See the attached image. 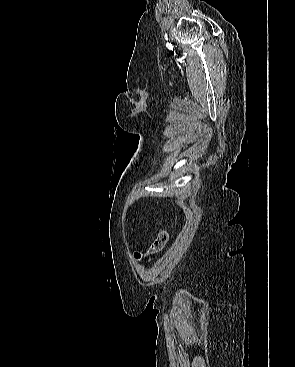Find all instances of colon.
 I'll use <instances>...</instances> for the list:
<instances>
[{
	"label": "colon",
	"mask_w": 295,
	"mask_h": 367,
	"mask_svg": "<svg viewBox=\"0 0 295 367\" xmlns=\"http://www.w3.org/2000/svg\"><path fill=\"white\" fill-rule=\"evenodd\" d=\"M169 239L168 232L166 230L160 231L156 238L154 239L153 243L148 249V255H154L159 253L167 244Z\"/></svg>",
	"instance_id": "1"
}]
</instances>
